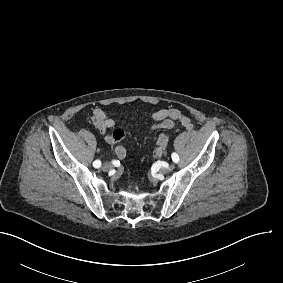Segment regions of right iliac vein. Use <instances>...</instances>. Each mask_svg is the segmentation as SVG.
Listing matches in <instances>:
<instances>
[{
  "instance_id": "1",
  "label": "right iliac vein",
  "mask_w": 283,
  "mask_h": 283,
  "mask_svg": "<svg viewBox=\"0 0 283 283\" xmlns=\"http://www.w3.org/2000/svg\"><path fill=\"white\" fill-rule=\"evenodd\" d=\"M111 168H112V165H111L110 163H104V164L102 165V169H103L104 171H109Z\"/></svg>"
}]
</instances>
